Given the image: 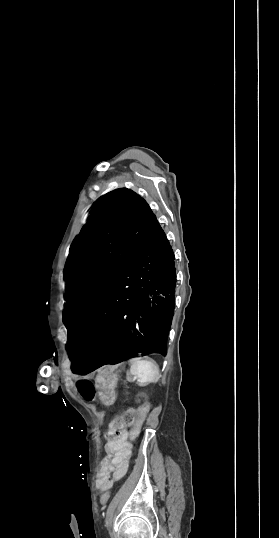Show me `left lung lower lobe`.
Segmentation results:
<instances>
[{
    "instance_id": "left-lung-lower-lobe-1",
    "label": "left lung lower lobe",
    "mask_w": 279,
    "mask_h": 538,
    "mask_svg": "<svg viewBox=\"0 0 279 538\" xmlns=\"http://www.w3.org/2000/svg\"><path fill=\"white\" fill-rule=\"evenodd\" d=\"M175 284L174 254L156 220L88 318L68 333L72 372L137 352L166 355Z\"/></svg>"
}]
</instances>
